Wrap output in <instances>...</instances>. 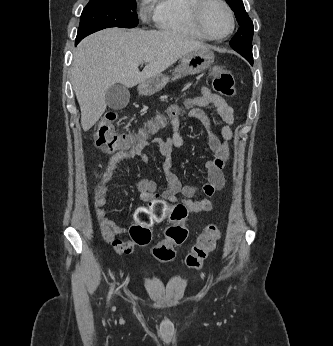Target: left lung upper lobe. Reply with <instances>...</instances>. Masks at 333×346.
Returning <instances> with one entry per match:
<instances>
[{
  "label": "left lung upper lobe",
  "instance_id": "obj_1",
  "mask_svg": "<svg viewBox=\"0 0 333 346\" xmlns=\"http://www.w3.org/2000/svg\"><path fill=\"white\" fill-rule=\"evenodd\" d=\"M235 13V17L240 25L236 35L232 39L230 46L253 64L252 37L253 23L245 11L242 0H226Z\"/></svg>",
  "mask_w": 333,
  "mask_h": 346
}]
</instances>
